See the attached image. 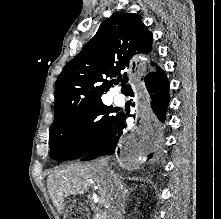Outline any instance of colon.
Instances as JSON below:
<instances>
[{
  "instance_id": "1",
  "label": "colon",
  "mask_w": 221,
  "mask_h": 219,
  "mask_svg": "<svg viewBox=\"0 0 221 219\" xmlns=\"http://www.w3.org/2000/svg\"><path fill=\"white\" fill-rule=\"evenodd\" d=\"M67 219H82L83 209L80 205L74 202H68L66 204Z\"/></svg>"
}]
</instances>
